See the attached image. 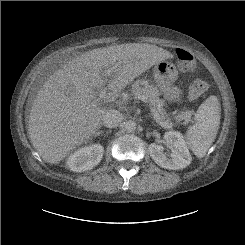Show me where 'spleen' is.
I'll list each match as a JSON object with an SVG mask.
<instances>
[{
  "mask_svg": "<svg viewBox=\"0 0 245 245\" xmlns=\"http://www.w3.org/2000/svg\"><path fill=\"white\" fill-rule=\"evenodd\" d=\"M220 103L216 96L207 98L198 108L195 123L188 128L186 140L197 157H204L214 142L220 124Z\"/></svg>",
  "mask_w": 245,
  "mask_h": 245,
  "instance_id": "3e777b00",
  "label": "spleen"
}]
</instances>
